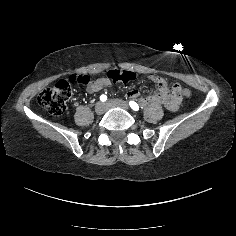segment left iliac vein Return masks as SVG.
<instances>
[{
	"mask_svg": "<svg viewBox=\"0 0 236 236\" xmlns=\"http://www.w3.org/2000/svg\"><path fill=\"white\" fill-rule=\"evenodd\" d=\"M106 106H107V109L115 108V107H120L124 110L129 109V104L122 100H109L106 102Z\"/></svg>",
	"mask_w": 236,
	"mask_h": 236,
	"instance_id": "1",
	"label": "left iliac vein"
}]
</instances>
